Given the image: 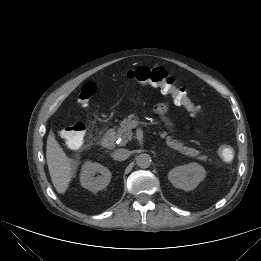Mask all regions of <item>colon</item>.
Returning a JSON list of instances; mask_svg holds the SVG:
<instances>
[{
	"mask_svg": "<svg viewBox=\"0 0 261 261\" xmlns=\"http://www.w3.org/2000/svg\"><path fill=\"white\" fill-rule=\"evenodd\" d=\"M127 76L137 82L160 87L164 93L170 94L173 97L176 104L186 107L193 114H197L200 111L187 96V92L183 88L176 86L174 79L163 67L140 66L129 70ZM96 89V84L93 82H88L82 86L78 96L81 106L86 107L89 104L96 93ZM85 134L86 125L83 122H76L61 131V135L67 145L74 149L80 148L83 145ZM218 155L223 161L230 162L233 160L235 152L232 146L224 144L218 148Z\"/></svg>",
	"mask_w": 261,
	"mask_h": 261,
	"instance_id": "1",
	"label": "colon"
}]
</instances>
